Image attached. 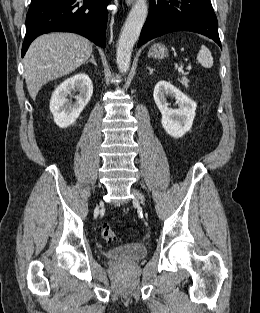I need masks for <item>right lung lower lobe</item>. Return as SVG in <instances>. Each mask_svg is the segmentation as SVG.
I'll return each mask as SVG.
<instances>
[{
	"label": "right lung lower lobe",
	"mask_w": 260,
	"mask_h": 313,
	"mask_svg": "<svg viewBox=\"0 0 260 313\" xmlns=\"http://www.w3.org/2000/svg\"><path fill=\"white\" fill-rule=\"evenodd\" d=\"M109 1L31 0L22 56L37 36L53 31L74 32L104 48Z\"/></svg>",
	"instance_id": "obj_1"
}]
</instances>
